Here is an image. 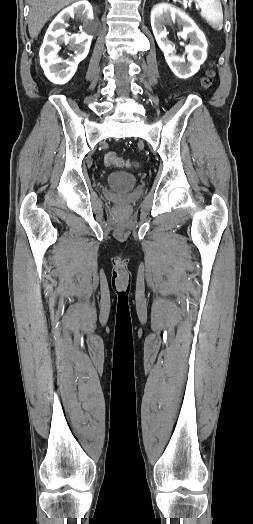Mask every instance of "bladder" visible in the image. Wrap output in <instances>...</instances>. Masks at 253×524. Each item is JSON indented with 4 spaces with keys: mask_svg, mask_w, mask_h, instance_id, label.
I'll use <instances>...</instances> for the list:
<instances>
[{
    "mask_svg": "<svg viewBox=\"0 0 253 524\" xmlns=\"http://www.w3.org/2000/svg\"><path fill=\"white\" fill-rule=\"evenodd\" d=\"M138 183L137 178L126 172H112L108 175L106 184L115 190H129L134 188Z\"/></svg>",
    "mask_w": 253,
    "mask_h": 524,
    "instance_id": "1",
    "label": "bladder"
}]
</instances>
